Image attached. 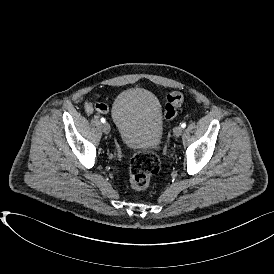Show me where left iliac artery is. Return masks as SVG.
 Here are the masks:
<instances>
[{
    "label": "left iliac artery",
    "mask_w": 274,
    "mask_h": 274,
    "mask_svg": "<svg viewBox=\"0 0 274 274\" xmlns=\"http://www.w3.org/2000/svg\"><path fill=\"white\" fill-rule=\"evenodd\" d=\"M181 127H182V128H185V127H186V124H185V123H182V124H181Z\"/></svg>",
    "instance_id": "1"
}]
</instances>
